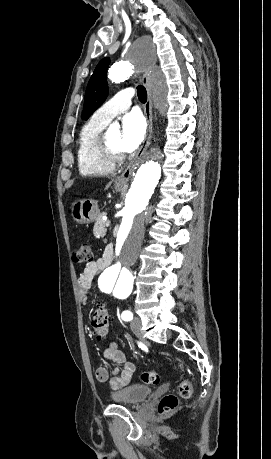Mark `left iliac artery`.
<instances>
[{
    "label": "left iliac artery",
    "mask_w": 271,
    "mask_h": 459,
    "mask_svg": "<svg viewBox=\"0 0 271 459\" xmlns=\"http://www.w3.org/2000/svg\"><path fill=\"white\" fill-rule=\"evenodd\" d=\"M121 318L124 320V321H131L133 319V313L131 311H123L122 314H121Z\"/></svg>",
    "instance_id": "1"
}]
</instances>
